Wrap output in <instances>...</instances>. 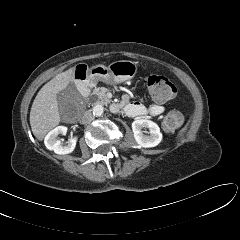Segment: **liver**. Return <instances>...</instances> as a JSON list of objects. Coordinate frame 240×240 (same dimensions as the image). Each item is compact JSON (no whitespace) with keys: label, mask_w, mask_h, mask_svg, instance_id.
Listing matches in <instances>:
<instances>
[{"label":"liver","mask_w":240,"mask_h":240,"mask_svg":"<svg viewBox=\"0 0 240 240\" xmlns=\"http://www.w3.org/2000/svg\"><path fill=\"white\" fill-rule=\"evenodd\" d=\"M74 74V68L57 74L35 97L30 111V125L33 135L38 140H43L45 135L59 124L57 94L74 82Z\"/></svg>","instance_id":"1"}]
</instances>
